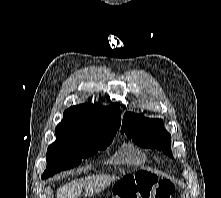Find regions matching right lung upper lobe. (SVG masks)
Returning a JSON list of instances; mask_svg holds the SVG:
<instances>
[{
    "mask_svg": "<svg viewBox=\"0 0 221 198\" xmlns=\"http://www.w3.org/2000/svg\"><path fill=\"white\" fill-rule=\"evenodd\" d=\"M120 126V107L117 103L103 107L98 103L72 106L64 112L56 135L81 136L100 130H116Z\"/></svg>",
    "mask_w": 221,
    "mask_h": 198,
    "instance_id": "1",
    "label": "right lung upper lobe"
}]
</instances>
